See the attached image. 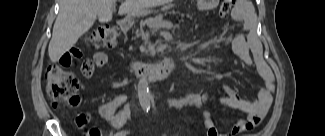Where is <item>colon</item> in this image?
Segmentation results:
<instances>
[{
  "mask_svg": "<svg viewBox=\"0 0 325 136\" xmlns=\"http://www.w3.org/2000/svg\"><path fill=\"white\" fill-rule=\"evenodd\" d=\"M234 0H223L219 7V15L226 18L233 6ZM119 32L114 26H100L91 31L87 36V42L95 48H113L118 40ZM46 90L55 105L68 103L75 105L79 99L76 96L78 79L75 75L67 73L59 65H51L45 73ZM84 136H101L97 129H88Z\"/></svg>",
  "mask_w": 325,
  "mask_h": 136,
  "instance_id": "colon-1",
  "label": "colon"
}]
</instances>
